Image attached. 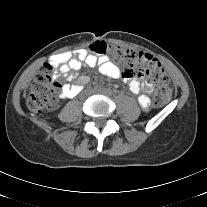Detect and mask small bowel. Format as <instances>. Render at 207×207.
<instances>
[{
    "instance_id": "small-bowel-1",
    "label": "small bowel",
    "mask_w": 207,
    "mask_h": 207,
    "mask_svg": "<svg viewBox=\"0 0 207 207\" xmlns=\"http://www.w3.org/2000/svg\"><path fill=\"white\" fill-rule=\"evenodd\" d=\"M96 42L90 46V51L85 49H79L74 52H62L55 54L48 60L49 63L53 64L59 69V73L67 78L69 83L60 85L59 94L62 98H73L77 96L89 82L88 75L77 76L76 71L82 67L94 68L97 67L99 72L111 79L123 78L128 82L129 90L134 95L138 96V102L143 110H148L150 106V98L146 94H141V91L149 92L150 87L146 84H141L138 78H125L122 74L121 69L104 54H97L93 51L92 47L95 46ZM54 79H58V75L54 74Z\"/></svg>"
}]
</instances>
